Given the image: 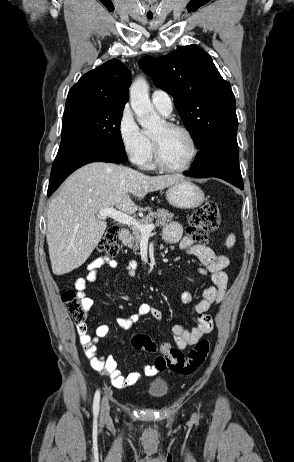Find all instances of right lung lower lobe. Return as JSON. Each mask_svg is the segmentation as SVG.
Listing matches in <instances>:
<instances>
[{
  "label": "right lung lower lobe",
  "instance_id": "obj_1",
  "mask_svg": "<svg viewBox=\"0 0 294 462\" xmlns=\"http://www.w3.org/2000/svg\"><path fill=\"white\" fill-rule=\"evenodd\" d=\"M119 163L127 161L124 149L115 147L78 150L57 155L52 165L47 195L50 196L76 169L91 162Z\"/></svg>",
  "mask_w": 294,
  "mask_h": 462
}]
</instances>
